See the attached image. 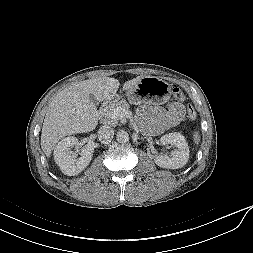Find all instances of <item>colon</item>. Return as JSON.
Returning <instances> with one entry per match:
<instances>
[{
	"label": "colon",
	"mask_w": 253,
	"mask_h": 253,
	"mask_svg": "<svg viewBox=\"0 0 253 253\" xmlns=\"http://www.w3.org/2000/svg\"><path fill=\"white\" fill-rule=\"evenodd\" d=\"M172 92H173V96L176 100H178V101L185 100V95L180 88L175 87V88H173ZM187 116L190 120H194L197 117V113H196L195 109L193 108V106H191V105L187 106Z\"/></svg>",
	"instance_id": "5ec220e1"
}]
</instances>
